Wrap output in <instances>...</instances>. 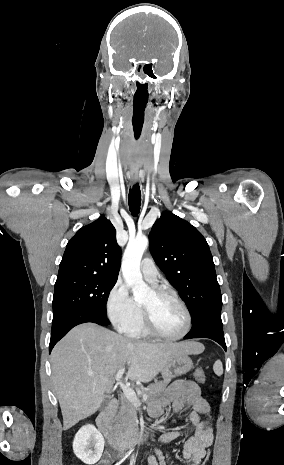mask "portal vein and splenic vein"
<instances>
[{
    "instance_id": "18ae733b",
    "label": "portal vein and splenic vein",
    "mask_w": 284,
    "mask_h": 465,
    "mask_svg": "<svg viewBox=\"0 0 284 465\" xmlns=\"http://www.w3.org/2000/svg\"><path fill=\"white\" fill-rule=\"evenodd\" d=\"M125 373V369H120V371H118V373H116L115 375V379L116 381H120V379H122L123 375ZM89 377H95V375H89ZM120 387L124 393V397H126V399H128L129 403H132V405H134V407H140V405H142V403H145V401H147L148 399V395H143L141 401L140 399H138L135 391H133V389H130V387H126V385H124V383H120Z\"/></svg>"
}]
</instances>
